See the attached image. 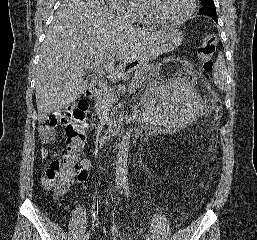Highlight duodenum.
Segmentation results:
<instances>
[{
	"label": "duodenum",
	"instance_id": "obj_1",
	"mask_svg": "<svg viewBox=\"0 0 257 240\" xmlns=\"http://www.w3.org/2000/svg\"><path fill=\"white\" fill-rule=\"evenodd\" d=\"M95 93H96V87L94 85L88 86L85 90V96L88 98L93 97L95 95ZM122 119H123V115L120 114V115L116 116L109 123L107 130L99 139L100 145H106L117 135V133L120 129V126H121Z\"/></svg>",
	"mask_w": 257,
	"mask_h": 240
}]
</instances>
